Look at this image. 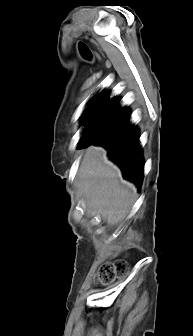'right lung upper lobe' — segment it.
<instances>
[{
	"label": "right lung upper lobe",
	"instance_id": "cb5924a9",
	"mask_svg": "<svg viewBox=\"0 0 193 336\" xmlns=\"http://www.w3.org/2000/svg\"><path fill=\"white\" fill-rule=\"evenodd\" d=\"M119 101L113 99H108V94L99 93L96 95L84 112V121L96 120L101 114L107 110L115 109ZM82 142L88 140H81Z\"/></svg>",
	"mask_w": 193,
	"mask_h": 336
}]
</instances>
